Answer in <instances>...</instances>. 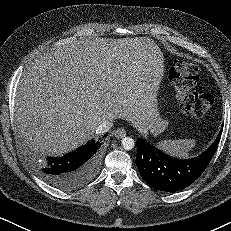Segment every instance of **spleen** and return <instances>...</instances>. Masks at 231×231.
<instances>
[{
  "mask_svg": "<svg viewBox=\"0 0 231 231\" xmlns=\"http://www.w3.org/2000/svg\"><path fill=\"white\" fill-rule=\"evenodd\" d=\"M195 145L194 139L164 140L158 143V148L171 156L185 158Z\"/></svg>",
  "mask_w": 231,
  "mask_h": 231,
  "instance_id": "1",
  "label": "spleen"
}]
</instances>
